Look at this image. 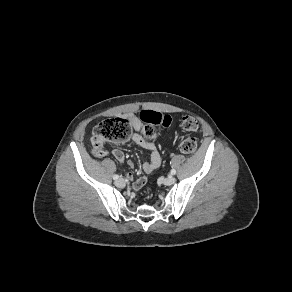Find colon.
<instances>
[{
  "mask_svg": "<svg viewBox=\"0 0 292 292\" xmlns=\"http://www.w3.org/2000/svg\"><path fill=\"white\" fill-rule=\"evenodd\" d=\"M140 120L143 123V133L146 137L152 139L156 136L155 126H168L171 123L169 116H163L158 112L145 110L140 114ZM181 125L184 130L194 132L198 128V123L195 118L191 116H183L181 118ZM132 125L126 118L107 119L100 122L94 129L91 138L92 153L95 156L103 155V143L106 141L123 143L131 138ZM180 149L183 153L191 154L198 149V139L193 136L185 138L181 144Z\"/></svg>",
  "mask_w": 292,
  "mask_h": 292,
  "instance_id": "1",
  "label": "colon"
}]
</instances>
